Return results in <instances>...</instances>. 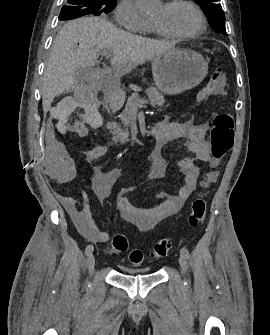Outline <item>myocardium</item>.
<instances>
[{"mask_svg": "<svg viewBox=\"0 0 270 335\" xmlns=\"http://www.w3.org/2000/svg\"><path fill=\"white\" fill-rule=\"evenodd\" d=\"M181 4H186L188 6H190L194 12L197 14L199 22H200V26L199 28L191 33H186V34H172V33H168L162 29H160L157 25L152 23L153 28L162 36L167 37V38H173V39H178V40H188V39H193L198 37L199 35H201L205 29H206V20L202 14V12L200 11V9L196 6V4H194L192 1L190 0H176L174 2H171L169 4H167L166 6L169 9H173L175 7H177L178 5ZM180 52H194L192 50H182ZM195 78H202V77H195Z\"/></svg>", "mask_w": 270, "mask_h": 335, "instance_id": "f54148a6", "label": "myocardium"}]
</instances>
